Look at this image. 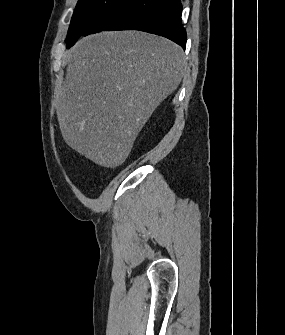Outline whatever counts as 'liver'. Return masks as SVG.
<instances>
[{
	"label": "liver",
	"mask_w": 285,
	"mask_h": 335,
	"mask_svg": "<svg viewBox=\"0 0 285 335\" xmlns=\"http://www.w3.org/2000/svg\"><path fill=\"white\" fill-rule=\"evenodd\" d=\"M185 70L182 48L153 34L101 32L78 40L57 96L64 142L98 166H121Z\"/></svg>",
	"instance_id": "liver-1"
}]
</instances>
